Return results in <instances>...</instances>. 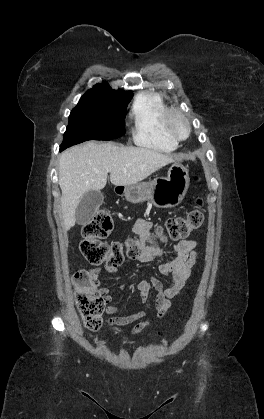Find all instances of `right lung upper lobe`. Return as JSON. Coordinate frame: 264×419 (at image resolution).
Masks as SVG:
<instances>
[{"label": "right lung upper lobe", "instance_id": "cb5924a9", "mask_svg": "<svg viewBox=\"0 0 264 419\" xmlns=\"http://www.w3.org/2000/svg\"><path fill=\"white\" fill-rule=\"evenodd\" d=\"M87 94H97V95H107V96H114L121 99H129L132 98L133 94L131 91L123 92V91H115L107 84H97L92 89L86 92Z\"/></svg>", "mask_w": 264, "mask_h": 419}]
</instances>
